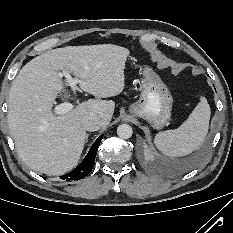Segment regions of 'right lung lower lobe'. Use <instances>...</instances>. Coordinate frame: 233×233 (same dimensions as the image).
<instances>
[{"label":"right lung lower lobe","instance_id":"98d812e1","mask_svg":"<svg viewBox=\"0 0 233 233\" xmlns=\"http://www.w3.org/2000/svg\"><path fill=\"white\" fill-rule=\"evenodd\" d=\"M102 138L103 135H100L96 139V141L91 146L88 154L86 155L85 159L73 171L61 176L62 180H66V181L79 180L89 174V172L92 170L94 166L98 147Z\"/></svg>","mask_w":233,"mask_h":233}]
</instances>
